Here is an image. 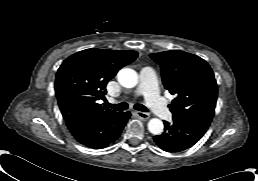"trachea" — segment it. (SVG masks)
I'll list each match as a JSON object with an SVG mask.
<instances>
[{
    "mask_svg": "<svg viewBox=\"0 0 258 181\" xmlns=\"http://www.w3.org/2000/svg\"><path fill=\"white\" fill-rule=\"evenodd\" d=\"M107 105H108L110 108H112V109H114V110H116V111H123V110L128 109V104L125 103V102H122V103H119V104H110V103H107ZM134 108H135L136 110H139V111H142V112H147V111H148L147 108H146L144 105H142V104H135V105H134Z\"/></svg>",
    "mask_w": 258,
    "mask_h": 181,
    "instance_id": "3493384b",
    "label": "trachea"
}]
</instances>
